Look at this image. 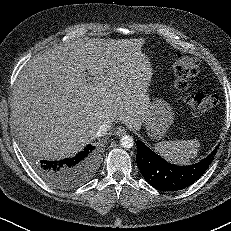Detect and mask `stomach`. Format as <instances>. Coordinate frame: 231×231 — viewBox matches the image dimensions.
<instances>
[{"mask_svg": "<svg viewBox=\"0 0 231 231\" xmlns=\"http://www.w3.org/2000/svg\"><path fill=\"white\" fill-rule=\"evenodd\" d=\"M174 121L171 105L162 98H156L148 109L143 125L152 139H161Z\"/></svg>", "mask_w": 231, "mask_h": 231, "instance_id": "obj_1", "label": "stomach"}]
</instances>
